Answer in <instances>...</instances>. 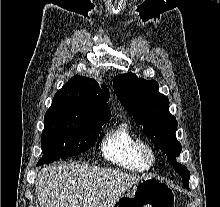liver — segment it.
I'll return each mask as SVG.
<instances>
[{
    "instance_id": "liver-1",
    "label": "liver",
    "mask_w": 220,
    "mask_h": 207,
    "mask_svg": "<svg viewBox=\"0 0 220 207\" xmlns=\"http://www.w3.org/2000/svg\"><path fill=\"white\" fill-rule=\"evenodd\" d=\"M143 177L121 170L56 162L37 174L42 207H112Z\"/></svg>"
}]
</instances>
